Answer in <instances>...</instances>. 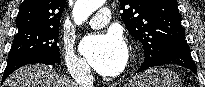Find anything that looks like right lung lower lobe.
Listing matches in <instances>:
<instances>
[{"label":"right lung lower lobe","mask_w":205,"mask_h":87,"mask_svg":"<svg viewBox=\"0 0 205 87\" xmlns=\"http://www.w3.org/2000/svg\"><path fill=\"white\" fill-rule=\"evenodd\" d=\"M33 63H42L45 65H53L55 66L57 63L50 61L48 59L34 56V55H12L8 56V63L6 69L4 71L2 82L16 69L21 66Z\"/></svg>","instance_id":"1"}]
</instances>
